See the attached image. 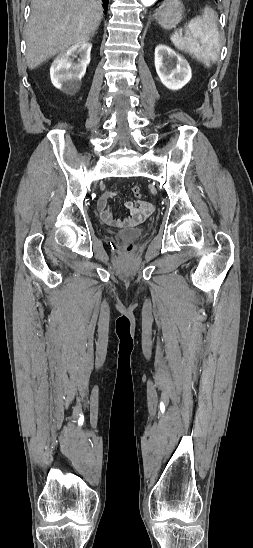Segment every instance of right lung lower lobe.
<instances>
[{"label": "right lung lower lobe", "instance_id": "right-lung-lower-lobe-1", "mask_svg": "<svg viewBox=\"0 0 253 548\" xmlns=\"http://www.w3.org/2000/svg\"><path fill=\"white\" fill-rule=\"evenodd\" d=\"M102 1H103L104 5H105V8L107 9V8H108V2H109V0H102Z\"/></svg>", "mask_w": 253, "mask_h": 548}]
</instances>
